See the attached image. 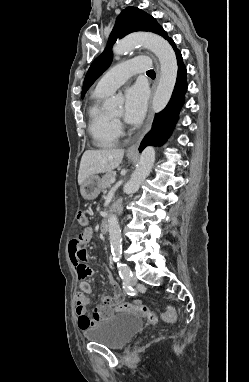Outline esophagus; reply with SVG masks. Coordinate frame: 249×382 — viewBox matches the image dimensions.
Instances as JSON below:
<instances>
[{
  "label": "esophagus",
  "mask_w": 249,
  "mask_h": 382,
  "mask_svg": "<svg viewBox=\"0 0 249 382\" xmlns=\"http://www.w3.org/2000/svg\"><path fill=\"white\" fill-rule=\"evenodd\" d=\"M153 59H154L155 65H156V72H157L156 81H155L154 86H153V91H154L155 88H156V85L158 83V79H159V65H158L157 60L154 57H153ZM153 119H154V115H153V112H152V107L150 105L148 116H147V120H146V125H145V127L143 129V132H142L140 138L137 140V142L132 144L127 149V153H129V154H137L138 153L139 144H140L143 136L145 135V133L150 130L152 122H153Z\"/></svg>",
  "instance_id": "esophagus-1"
}]
</instances>
